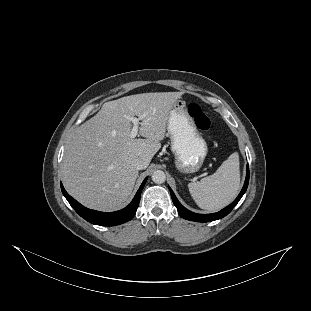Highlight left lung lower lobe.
<instances>
[{"mask_svg":"<svg viewBox=\"0 0 311 311\" xmlns=\"http://www.w3.org/2000/svg\"><path fill=\"white\" fill-rule=\"evenodd\" d=\"M248 183H249V166L247 164V174H246L245 183L238 197L229 206L213 214H196V213H193L187 210L179 203V201L177 200L175 194L173 193L170 187H169V190L171 192L173 203L177 207L178 213L180 214L181 217H183L184 219L196 221V222H210V221L223 218L224 216H226L232 211V209L235 207V205L239 202V200L242 198V196L246 192Z\"/></svg>","mask_w":311,"mask_h":311,"instance_id":"1","label":"left lung lower lobe"}]
</instances>
